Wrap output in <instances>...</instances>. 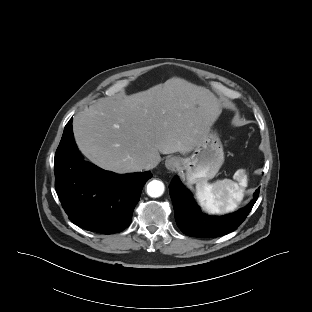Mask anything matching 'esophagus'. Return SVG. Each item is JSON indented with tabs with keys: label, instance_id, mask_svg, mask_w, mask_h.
<instances>
[{
	"label": "esophagus",
	"instance_id": "esophagus-1",
	"mask_svg": "<svg viewBox=\"0 0 312 312\" xmlns=\"http://www.w3.org/2000/svg\"><path fill=\"white\" fill-rule=\"evenodd\" d=\"M178 166V159L176 157H168L165 161V167L168 171L174 172Z\"/></svg>",
	"mask_w": 312,
	"mask_h": 312
}]
</instances>
